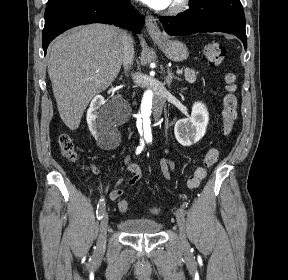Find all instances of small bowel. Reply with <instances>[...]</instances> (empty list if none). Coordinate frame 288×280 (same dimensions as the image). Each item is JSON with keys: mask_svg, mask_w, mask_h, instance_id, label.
I'll list each match as a JSON object with an SVG mask.
<instances>
[{"mask_svg": "<svg viewBox=\"0 0 288 280\" xmlns=\"http://www.w3.org/2000/svg\"><path fill=\"white\" fill-rule=\"evenodd\" d=\"M125 165H126L127 170L131 173V176L128 178H121L116 183V185L113 187V189L110 191V194H109L111 201L118 202V207L121 201H123L121 197L124 192V187L134 186L142 177V170L138 164L133 162L132 155H128L125 158ZM92 170L95 173L97 172V169L94 166H92ZM161 170L165 178L170 179L172 172L174 170V164L168 159H163L161 161ZM119 210L121 212H125L120 207H119Z\"/></svg>", "mask_w": 288, "mask_h": 280, "instance_id": "small-bowel-1", "label": "small bowel"}]
</instances>
